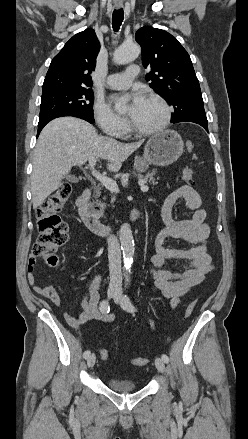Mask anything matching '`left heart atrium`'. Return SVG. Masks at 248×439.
I'll list each match as a JSON object with an SVG mask.
<instances>
[{
	"label": "left heart atrium",
	"mask_w": 248,
	"mask_h": 439,
	"mask_svg": "<svg viewBox=\"0 0 248 439\" xmlns=\"http://www.w3.org/2000/svg\"><path fill=\"white\" fill-rule=\"evenodd\" d=\"M113 99L115 102H121L125 99V97L116 96ZM129 99H130L129 114L130 116H133L142 105L144 101V97L138 92H133L132 94H130Z\"/></svg>",
	"instance_id": "obj_1"
}]
</instances>
